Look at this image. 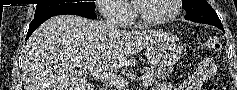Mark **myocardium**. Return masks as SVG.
Returning <instances> with one entry per match:
<instances>
[{
    "label": "myocardium",
    "mask_w": 237,
    "mask_h": 90,
    "mask_svg": "<svg viewBox=\"0 0 237 90\" xmlns=\"http://www.w3.org/2000/svg\"><path fill=\"white\" fill-rule=\"evenodd\" d=\"M138 1H148V0H138ZM169 1L171 4V9L169 13L153 20L145 19L142 16H140L138 9L136 7V1H129L132 17L134 20L133 28H156L161 24L173 21L181 11V5L179 3H185V0H169Z\"/></svg>",
    "instance_id": "obj_1"
}]
</instances>
